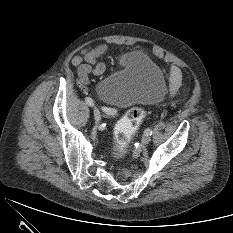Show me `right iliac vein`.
Here are the masks:
<instances>
[{
  "mask_svg": "<svg viewBox=\"0 0 233 233\" xmlns=\"http://www.w3.org/2000/svg\"><path fill=\"white\" fill-rule=\"evenodd\" d=\"M94 118L96 123H99L101 121V114L98 109L94 108Z\"/></svg>",
  "mask_w": 233,
  "mask_h": 233,
  "instance_id": "obj_1",
  "label": "right iliac vein"
}]
</instances>
